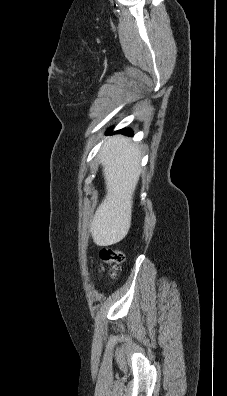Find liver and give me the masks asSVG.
Listing matches in <instances>:
<instances>
[{"label": "liver", "instance_id": "6515ba94", "mask_svg": "<svg viewBox=\"0 0 227 396\" xmlns=\"http://www.w3.org/2000/svg\"><path fill=\"white\" fill-rule=\"evenodd\" d=\"M137 144L124 136L108 139L99 152L106 184V196L90 224V233L98 246L121 241L131 226L133 195L141 169Z\"/></svg>", "mask_w": 227, "mask_h": 396}]
</instances>
